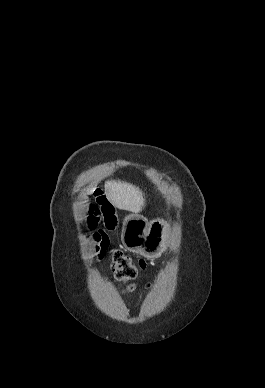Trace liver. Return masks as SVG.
<instances>
[{
	"label": "liver",
	"mask_w": 265,
	"mask_h": 388,
	"mask_svg": "<svg viewBox=\"0 0 265 388\" xmlns=\"http://www.w3.org/2000/svg\"><path fill=\"white\" fill-rule=\"evenodd\" d=\"M105 194L107 200L118 210L139 214L144 208L145 200L142 192L127 182H116V180L105 182Z\"/></svg>",
	"instance_id": "6515ba94"
}]
</instances>
